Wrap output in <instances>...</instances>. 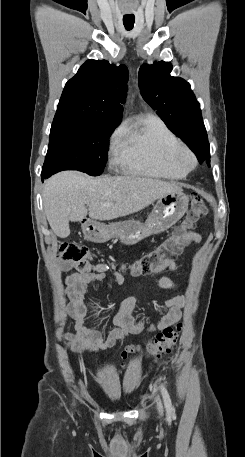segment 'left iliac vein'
<instances>
[{
  "label": "left iliac vein",
  "instance_id": "left-iliac-vein-1",
  "mask_svg": "<svg viewBox=\"0 0 245 457\" xmlns=\"http://www.w3.org/2000/svg\"><path fill=\"white\" fill-rule=\"evenodd\" d=\"M157 409L161 414L163 413V407L159 399H157Z\"/></svg>",
  "mask_w": 245,
  "mask_h": 457
}]
</instances>
